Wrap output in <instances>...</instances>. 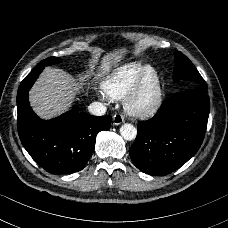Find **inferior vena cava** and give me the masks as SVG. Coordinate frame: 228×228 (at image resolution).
Segmentation results:
<instances>
[{
	"label": "inferior vena cava",
	"mask_w": 228,
	"mask_h": 228,
	"mask_svg": "<svg viewBox=\"0 0 228 228\" xmlns=\"http://www.w3.org/2000/svg\"><path fill=\"white\" fill-rule=\"evenodd\" d=\"M89 112L95 116H102L106 113V107L100 102H93L88 107Z\"/></svg>",
	"instance_id": "602c4592"
}]
</instances>
